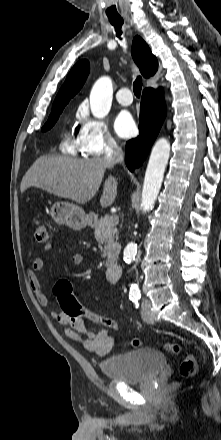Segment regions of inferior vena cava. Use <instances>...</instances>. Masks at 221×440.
<instances>
[{"label": "inferior vena cava", "instance_id": "obj_1", "mask_svg": "<svg viewBox=\"0 0 221 440\" xmlns=\"http://www.w3.org/2000/svg\"><path fill=\"white\" fill-rule=\"evenodd\" d=\"M104 160L109 165H114L116 163H122L124 160L123 150L114 140L108 141V147L105 151Z\"/></svg>", "mask_w": 221, "mask_h": 440}]
</instances>
